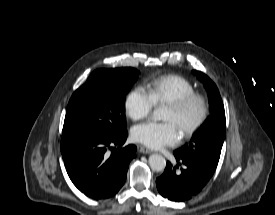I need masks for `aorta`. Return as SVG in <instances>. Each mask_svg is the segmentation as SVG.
<instances>
[{
  "mask_svg": "<svg viewBox=\"0 0 275 215\" xmlns=\"http://www.w3.org/2000/svg\"><path fill=\"white\" fill-rule=\"evenodd\" d=\"M163 110L160 108H157L153 112V118L154 120H162L163 119ZM149 166L154 171H163L166 167V160L163 156L159 154H152L149 157Z\"/></svg>",
  "mask_w": 275,
  "mask_h": 215,
  "instance_id": "aorta-1",
  "label": "aorta"
}]
</instances>
